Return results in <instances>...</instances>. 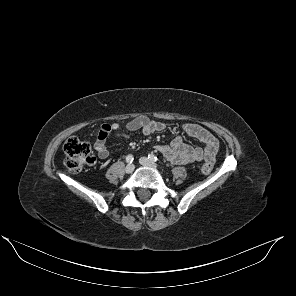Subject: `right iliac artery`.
Instances as JSON below:
<instances>
[{
    "instance_id": "obj_1",
    "label": "right iliac artery",
    "mask_w": 296,
    "mask_h": 296,
    "mask_svg": "<svg viewBox=\"0 0 296 296\" xmlns=\"http://www.w3.org/2000/svg\"><path fill=\"white\" fill-rule=\"evenodd\" d=\"M133 160H134V157L131 154L126 157V162L127 163L131 164L133 162Z\"/></svg>"
}]
</instances>
